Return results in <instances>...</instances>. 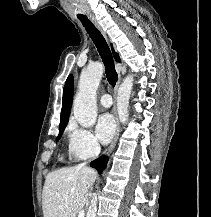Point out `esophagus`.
Wrapping results in <instances>:
<instances>
[{
  "instance_id": "esophagus-1",
  "label": "esophagus",
  "mask_w": 211,
  "mask_h": 217,
  "mask_svg": "<svg viewBox=\"0 0 211 217\" xmlns=\"http://www.w3.org/2000/svg\"><path fill=\"white\" fill-rule=\"evenodd\" d=\"M88 18L94 24V26L101 32V34L107 39V35L104 32V30L101 27L98 20L93 15H89ZM120 84H121V76L119 75V78H118V81H117V84L115 87V99L117 97V92H118ZM114 115H115V121H116V132H115V136L111 142V145L108 148V152H107L108 154L111 153L113 151V149L115 148L118 137H119V133H120V125H119V120H118V116H117L116 105L114 106Z\"/></svg>"
}]
</instances>
